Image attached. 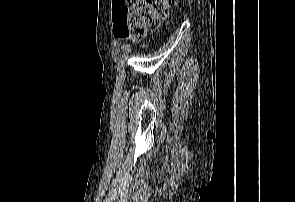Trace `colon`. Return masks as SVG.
<instances>
[{
  "mask_svg": "<svg viewBox=\"0 0 295 202\" xmlns=\"http://www.w3.org/2000/svg\"><path fill=\"white\" fill-rule=\"evenodd\" d=\"M177 0H135L116 14L119 38L140 41L147 32L156 31Z\"/></svg>",
  "mask_w": 295,
  "mask_h": 202,
  "instance_id": "obj_1",
  "label": "colon"
}]
</instances>
